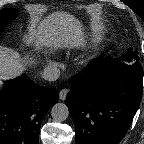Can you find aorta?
I'll list each match as a JSON object with an SVG mask.
<instances>
[{
	"mask_svg": "<svg viewBox=\"0 0 144 144\" xmlns=\"http://www.w3.org/2000/svg\"><path fill=\"white\" fill-rule=\"evenodd\" d=\"M51 116L57 122L65 121L69 116L67 105L64 103H56L51 109Z\"/></svg>",
	"mask_w": 144,
	"mask_h": 144,
	"instance_id": "762f6f07",
	"label": "aorta"
}]
</instances>
